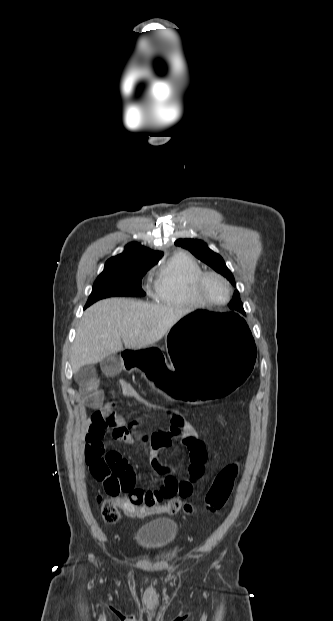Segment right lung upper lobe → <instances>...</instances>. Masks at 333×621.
Listing matches in <instances>:
<instances>
[{
  "label": "right lung upper lobe",
  "mask_w": 333,
  "mask_h": 621,
  "mask_svg": "<svg viewBox=\"0 0 333 621\" xmlns=\"http://www.w3.org/2000/svg\"><path fill=\"white\" fill-rule=\"evenodd\" d=\"M163 256L161 251H153L137 242H131L123 253L110 258L106 263H136L155 265Z\"/></svg>",
  "instance_id": "obj_1"
}]
</instances>
